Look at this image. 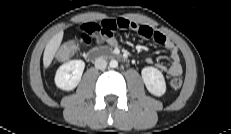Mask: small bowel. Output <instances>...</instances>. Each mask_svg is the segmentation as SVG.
Wrapping results in <instances>:
<instances>
[{"instance_id":"obj_1","label":"small bowel","mask_w":231,"mask_h":134,"mask_svg":"<svg viewBox=\"0 0 231 134\" xmlns=\"http://www.w3.org/2000/svg\"><path fill=\"white\" fill-rule=\"evenodd\" d=\"M117 29L130 30L139 36L152 39L154 42L163 45L169 52L172 63L169 67L159 65V69L169 76H179L182 74L183 68L178 47L163 33L153 30L151 27L132 22L125 18L105 19L100 23H86L79 27V38L84 44H90L95 38L98 42L106 41L110 45L116 44L115 31ZM148 63H153L151 59Z\"/></svg>"}]
</instances>
